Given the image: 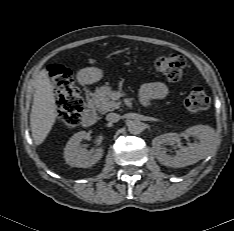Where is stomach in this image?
I'll list each match as a JSON object with an SVG mask.
<instances>
[{
    "instance_id": "1",
    "label": "stomach",
    "mask_w": 234,
    "mask_h": 231,
    "mask_svg": "<svg viewBox=\"0 0 234 231\" xmlns=\"http://www.w3.org/2000/svg\"><path fill=\"white\" fill-rule=\"evenodd\" d=\"M103 70L96 67H87L79 71L78 79L83 84H93L103 78Z\"/></svg>"
}]
</instances>
